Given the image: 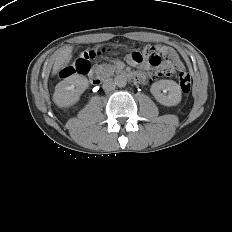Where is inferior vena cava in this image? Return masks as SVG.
<instances>
[{"instance_id":"1","label":"inferior vena cava","mask_w":232,"mask_h":232,"mask_svg":"<svg viewBox=\"0 0 232 232\" xmlns=\"http://www.w3.org/2000/svg\"><path fill=\"white\" fill-rule=\"evenodd\" d=\"M115 83L112 78H108L103 83V89L105 92H110L115 90Z\"/></svg>"}]
</instances>
